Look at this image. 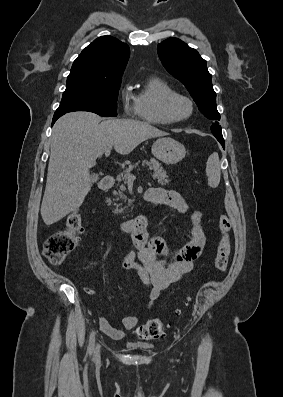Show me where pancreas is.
<instances>
[{
	"label": "pancreas",
	"mask_w": 283,
	"mask_h": 397,
	"mask_svg": "<svg viewBox=\"0 0 283 397\" xmlns=\"http://www.w3.org/2000/svg\"><path fill=\"white\" fill-rule=\"evenodd\" d=\"M139 165L138 163H135L133 165H130L124 173H121L117 176V182H118V191L114 192V195H117L118 198L117 200H119L120 198H122L124 201H126L128 198L127 196L124 194V192L126 191V187L125 184L127 183V173L132 171L135 167H137ZM142 165L143 166H147L149 168V170H153V179L157 180V182L161 185H167L169 184L170 180L168 178V175L166 173V171L161 167L160 163L155 161V160H143L142 161ZM129 205L131 204L132 200L128 199ZM123 211V209H116L115 212L116 213H121Z\"/></svg>",
	"instance_id": "obj_1"
}]
</instances>
